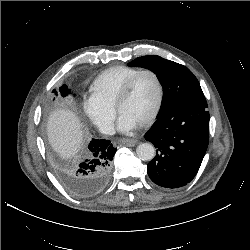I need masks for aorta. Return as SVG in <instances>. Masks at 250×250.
<instances>
[{"label": "aorta", "instance_id": "obj_1", "mask_svg": "<svg viewBox=\"0 0 250 250\" xmlns=\"http://www.w3.org/2000/svg\"><path fill=\"white\" fill-rule=\"evenodd\" d=\"M137 156L143 161H150L155 156V148L151 143H141L136 148Z\"/></svg>", "mask_w": 250, "mask_h": 250}]
</instances>
